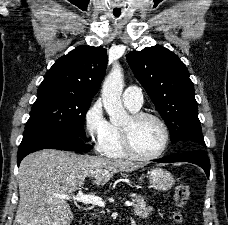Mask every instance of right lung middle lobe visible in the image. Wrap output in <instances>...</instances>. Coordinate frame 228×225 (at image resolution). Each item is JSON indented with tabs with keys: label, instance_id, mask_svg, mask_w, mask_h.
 <instances>
[{
	"label": "right lung middle lobe",
	"instance_id": "obj_1",
	"mask_svg": "<svg viewBox=\"0 0 228 225\" xmlns=\"http://www.w3.org/2000/svg\"><path fill=\"white\" fill-rule=\"evenodd\" d=\"M92 97L60 87H39L25 131L54 128L85 138L84 119Z\"/></svg>",
	"mask_w": 228,
	"mask_h": 225
}]
</instances>
